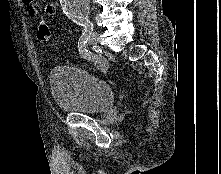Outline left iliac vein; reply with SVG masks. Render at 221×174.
<instances>
[{
	"label": "left iliac vein",
	"mask_w": 221,
	"mask_h": 174,
	"mask_svg": "<svg viewBox=\"0 0 221 174\" xmlns=\"http://www.w3.org/2000/svg\"><path fill=\"white\" fill-rule=\"evenodd\" d=\"M99 35L97 32H92L90 37L88 38V42L91 46L96 47L98 45Z\"/></svg>",
	"instance_id": "left-iliac-vein-1"
}]
</instances>
